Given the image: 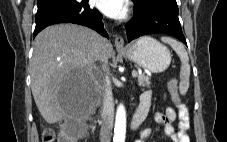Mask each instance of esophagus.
<instances>
[{
  "label": "esophagus",
  "mask_w": 227,
  "mask_h": 142,
  "mask_svg": "<svg viewBox=\"0 0 227 142\" xmlns=\"http://www.w3.org/2000/svg\"><path fill=\"white\" fill-rule=\"evenodd\" d=\"M114 44L116 49H124L125 48V41L121 35H116L114 39Z\"/></svg>",
  "instance_id": "34e87169"
}]
</instances>
